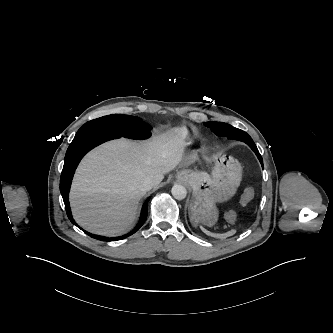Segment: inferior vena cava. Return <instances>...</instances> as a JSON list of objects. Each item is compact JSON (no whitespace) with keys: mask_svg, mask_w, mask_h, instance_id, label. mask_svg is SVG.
<instances>
[{"mask_svg":"<svg viewBox=\"0 0 333 333\" xmlns=\"http://www.w3.org/2000/svg\"><path fill=\"white\" fill-rule=\"evenodd\" d=\"M152 187H153V181L149 178L142 179L138 184V188L142 192H147V191L151 190Z\"/></svg>","mask_w":333,"mask_h":333,"instance_id":"1","label":"inferior vena cava"}]
</instances>
